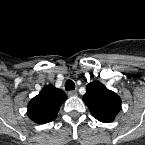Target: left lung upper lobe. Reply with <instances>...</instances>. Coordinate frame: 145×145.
Masks as SVG:
<instances>
[{
    "label": "left lung upper lobe",
    "instance_id": "obj_1",
    "mask_svg": "<svg viewBox=\"0 0 145 145\" xmlns=\"http://www.w3.org/2000/svg\"><path fill=\"white\" fill-rule=\"evenodd\" d=\"M83 101L88 106L92 116L105 123L114 121L121 110L120 97L99 81L91 82L86 86Z\"/></svg>",
    "mask_w": 145,
    "mask_h": 145
}]
</instances>
